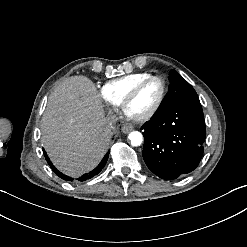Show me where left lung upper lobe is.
Here are the masks:
<instances>
[{"label": "left lung upper lobe", "instance_id": "1", "mask_svg": "<svg viewBox=\"0 0 247 247\" xmlns=\"http://www.w3.org/2000/svg\"><path fill=\"white\" fill-rule=\"evenodd\" d=\"M180 102H200L194 88L175 70L170 71L169 91L157 112Z\"/></svg>", "mask_w": 247, "mask_h": 247}]
</instances>
